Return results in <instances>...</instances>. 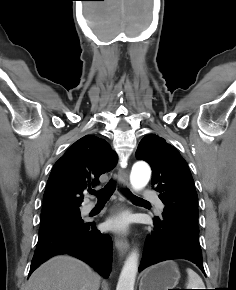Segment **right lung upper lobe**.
Instances as JSON below:
<instances>
[{
    "mask_svg": "<svg viewBox=\"0 0 236 290\" xmlns=\"http://www.w3.org/2000/svg\"><path fill=\"white\" fill-rule=\"evenodd\" d=\"M116 153L104 139L86 135L55 163L44 193L41 213L79 209L83 191L99 183V176L117 164Z\"/></svg>",
    "mask_w": 236,
    "mask_h": 290,
    "instance_id": "right-lung-upper-lobe-1",
    "label": "right lung upper lobe"
}]
</instances>
